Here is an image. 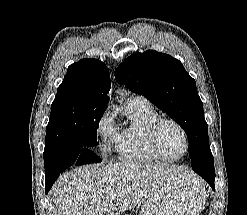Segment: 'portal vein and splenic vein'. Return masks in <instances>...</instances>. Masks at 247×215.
Here are the masks:
<instances>
[{
    "instance_id": "1",
    "label": "portal vein and splenic vein",
    "mask_w": 247,
    "mask_h": 215,
    "mask_svg": "<svg viewBox=\"0 0 247 215\" xmlns=\"http://www.w3.org/2000/svg\"><path fill=\"white\" fill-rule=\"evenodd\" d=\"M116 197V194L115 193H110V198L111 199H114Z\"/></svg>"
}]
</instances>
